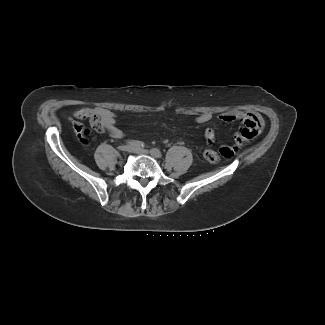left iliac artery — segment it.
Here are the masks:
<instances>
[{"instance_id": "1", "label": "left iliac artery", "mask_w": 325, "mask_h": 325, "mask_svg": "<svg viewBox=\"0 0 325 325\" xmlns=\"http://www.w3.org/2000/svg\"><path fill=\"white\" fill-rule=\"evenodd\" d=\"M151 152L157 153V154H159L161 156V152L157 148L151 149Z\"/></svg>"}]
</instances>
